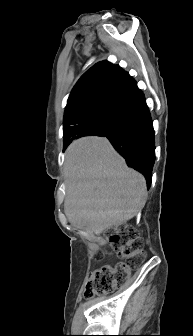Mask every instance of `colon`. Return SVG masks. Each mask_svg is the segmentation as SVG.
I'll list each match as a JSON object with an SVG mask.
<instances>
[{"label":"colon","instance_id":"obj_1","mask_svg":"<svg viewBox=\"0 0 193 336\" xmlns=\"http://www.w3.org/2000/svg\"><path fill=\"white\" fill-rule=\"evenodd\" d=\"M109 240L112 251L121 261L113 265H103L91 272L84 290L85 300H90L123 285L131 270L138 267L144 259L142 240L134 231L119 228Z\"/></svg>","mask_w":193,"mask_h":336}]
</instances>
